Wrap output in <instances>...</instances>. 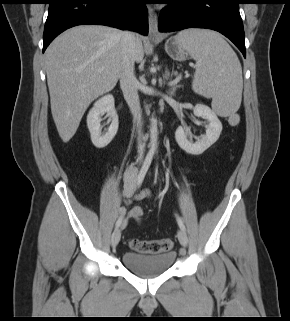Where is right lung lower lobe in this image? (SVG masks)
I'll return each mask as SVG.
<instances>
[{"instance_id":"right-lung-lower-lobe-1","label":"right lung lower lobe","mask_w":290,"mask_h":321,"mask_svg":"<svg viewBox=\"0 0 290 321\" xmlns=\"http://www.w3.org/2000/svg\"><path fill=\"white\" fill-rule=\"evenodd\" d=\"M43 34V52L64 30L81 24H100L148 34L145 0H50Z\"/></svg>"}]
</instances>
